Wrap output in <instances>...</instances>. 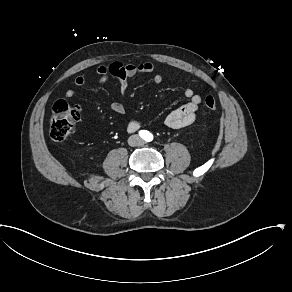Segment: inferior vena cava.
Segmentation results:
<instances>
[{
    "mask_svg": "<svg viewBox=\"0 0 292 292\" xmlns=\"http://www.w3.org/2000/svg\"><path fill=\"white\" fill-rule=\"evenodd\" d=\"M130 138H131V140L134 141L135 146H140V145L144 144V140L141 137H139L138 135H133Z\"/></svg>",
    "mask_w": 292,
    "mask_h": 292,
    "instance_id": "602c4592",
    "label": "inferior vena cava"
}]
</instances>
